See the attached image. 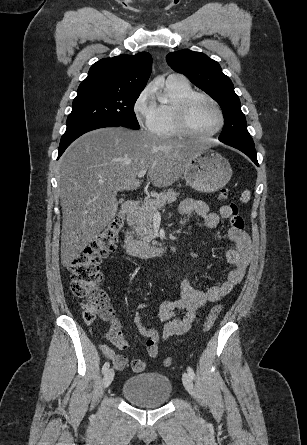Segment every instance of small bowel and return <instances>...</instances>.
Listing matches in <instances>:
<instances>
[{"mask_svg":"<svg viewBox=\"0 0 307 445\" xmlns=\"http://www.w3.org/2000/svg\"><path fill=\"white\" fill-rule=\"evenodd\" d=\"M179 212L185 218L201 217L204 226L208 229L215 228L222 219H228L231 216L229 205L221 206L218 212H211L205 203L193 199L183 200ZM227 239L233 245L226 252V259L233 266L232 270L224 280L206 289L197 288L188 280L182 281L180 285L181 297L176 301H164L158 307L159 317L165 322L162 333L144 322L139 310L145 308L146 304L141 303L139 305V310L134 314L133 322L137 331L145 338V348L149 357L155 358L157 356L160 342L171 336L187 333L202 307L209 302L219 301L244 278L252 255L250 237L244 230L231 227L227 232ZM117 347L121 350L125 349L127 347L126 341L122 346ZM100 349L118 370H123L129 363L136 373L145 370L146 363L140 358L129 362L126 356L116 354L106 345H101Z\"/></svg>","mask_w":307,"mask_h":445,"instance_id":"c3829d8e","label":"small bowel"}]
</instances>
